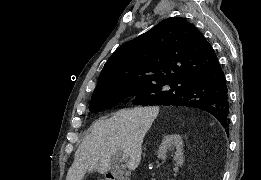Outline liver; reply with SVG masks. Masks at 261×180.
<instances>
[{
  "label": "liver",
  "mask_w": 261,
  "mask_h": 180,
  "mask_svg": "<svg viewBox=\"0 0 261 180\" xmlns=\"http://www.w3.org/2000/svg\"><path fill=\"white\" fill-rule=\"evenodd\" d=\"M158 108H134L118 110L112 118H99L92 124L89 136H85L75 152L74 162L68 172V180H83L86 174H106L119 154H127L128 170H136L142 156L143 138L152 126Z\"/></svg>",
  "instance_id": "obj_1"
}]
</instances>
